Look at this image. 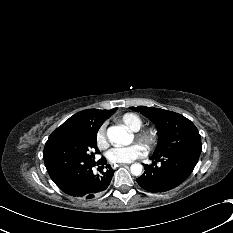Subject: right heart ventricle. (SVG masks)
Returning a JSON list of instances; mask_svg holds the SVG:
<instances>
[{
	"label": "right heart ventricle",
	"mask_w": 233,
	"mask_h": 233,
	"mask_svg": "<svg viewBox=\"0 0 233 233\" xmlns=\"http://www.w3.org/2000/svg\"><path fill=\"white\" fill-rule=\"evenodd\" d=\"M117 121L132 131H136L143 125V119L140 115L132 112L121 115Z\"/></svg>",
	"instance_id": "obj_1"
}]
</instances>
